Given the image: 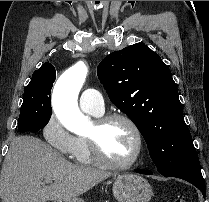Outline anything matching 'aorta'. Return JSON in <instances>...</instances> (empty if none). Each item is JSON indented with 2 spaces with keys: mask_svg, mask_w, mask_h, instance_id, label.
Segmentation results:
<instances>
[{
  "mask_svg": "<svg viewBox=\"0 0 209 202\" xmlns=\"http://www.w3.org/2000/svg\"><path fill=\"white\" fill-rule=\"evenodd\" d=\"M87 73V66L79 61L60 76L53 90V109L58 120L66 129L76 134L87 131L91 124L77 104Z\"/></svg>",
  "mask_w": 209,
  "mask_h": 202,
  "instance_id": "aorta-1",
  "label": "aorta"
}]
</instances>
